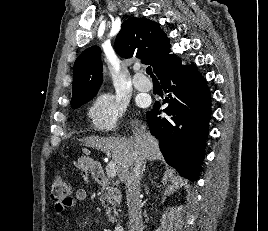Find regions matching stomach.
Wrapping results in <instances>:
<instances>
[{
    "label": "stomach",
    "mask_w": 268,
    "mask_h": 231,
    "mask_svg": "<svg viewBox=\"0 0 268 231\" xmlns=\"http://www.w3.org/2000/svg\"><path fill=\"white\" fill-rule=\"evenodd\" d=\"M97 166V163L89 156H82L78 159L77 167L83 171H93Z\"/></svg>",
    "instance_id": "obj_1"
}]
</instances>
